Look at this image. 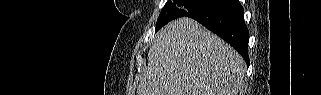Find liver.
I'll return each mask as SVG.
<instances>
[{
	"instance_id": "liver-1",
	"label": "liver",
	"mask_w": 321,
	"mask_h": 95,
	"mask_svg": "<svg viewBox=\"0 0 321 95\" xmlns=\"http://www.w3.org/2000/svg\"><path fill=\"white\" fill-rule=\"evenodd\" d=\"M244 75L236 50L183 17L155 36L137 95H237Z\"/></svg>"
}]
</instances>
